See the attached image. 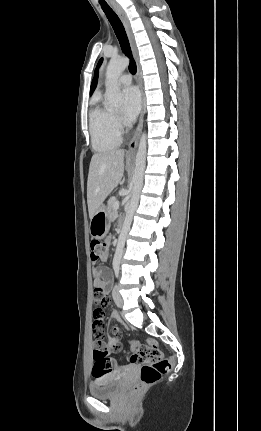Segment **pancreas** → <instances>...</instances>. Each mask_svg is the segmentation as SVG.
<instances>
[{
  "label": "pancreas",
  "instance_id": "cf45deb5",
  "mask_svg": "<svg viewBox=\"0 0 261 431\" xmlns=\"http://www.w3.org/2000/svg\"><path fill=\"white\" fill-rule=\"evenodd\" d=\"M118 202L115 197L110 198L108 201L107 211L110 220H114L117 216V210L114 208V203Z\"/></svg>",
  "mask_w": 261,
  "mask_h": 431
}]
</instances>
